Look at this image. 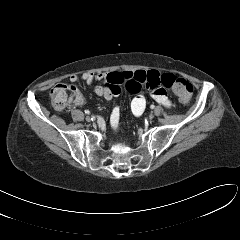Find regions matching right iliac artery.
<instances>
[{
  "label": "right iliac artery",
  "mask_w": 240,
  "mask_h": 240,
  "mask_svg": "<svg viewBox=\"0 0 240 240\" xmlns=\"http://www.w3.org/2000/svg\"><path fill=\"white\" fill-rule=\"evenodd\" d=\"M85 113H86V114H90V111H89V110H85Z\"/></svg>",
  "instance_id": "obj_1"
}]
</instances>
